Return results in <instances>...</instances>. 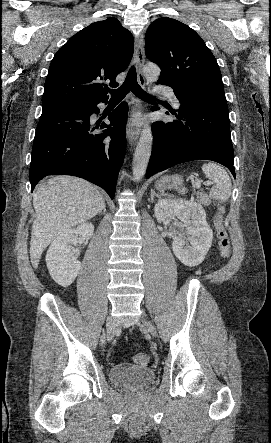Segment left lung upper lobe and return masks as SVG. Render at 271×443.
Wrapping results in <instances>:
<instances>
[{"label":"left lung upper lobe","instance_id":"left-lung-upper-lobe-1","mask_svg":"<svg viewBox=\"0 0 271 443\" xmlns=\"http://www.w3.org/2000/svg\"><path fill=\"white\" fill-rule=\"evenodd\" d=\"M146 57L161 68L160 76L224 92L215 57L200 36L168 17L155 20L145 35Z\"/></svg>","mask_w":271,"mask_h":443}]
</instances>
